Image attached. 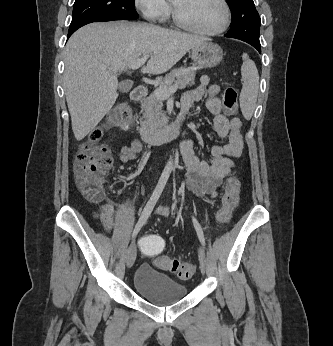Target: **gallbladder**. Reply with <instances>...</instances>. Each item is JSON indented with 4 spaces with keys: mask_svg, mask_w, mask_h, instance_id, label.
<instances>
[{
    "mask_svg": "<svg viewBox=\"0 0 333 346\" xmlns=\"http://www.w3.org/2000/svg\"><path fill=\"white\" fill-rule=\"evenodd\" d=\"M132 85H133L132 81L126 80V81L119 83L118 88L121 92L127 93L132 88Z\"/></svg>",
    "mask_w": 333,
    "mask_h": 346,
    "instance_id": "1",
    "label": "gallbladder"
}]
</instances>
